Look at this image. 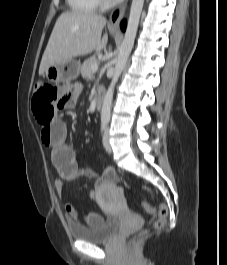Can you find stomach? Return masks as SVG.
Masks as SVG:
<instances>
[{
  "label": "stomach",
  "mask_w": 227,
  "mask_h": 265,
  "mask_svg": "<svg viewBox=\"0 0 227 265\" xmlns=\"http://www.w3.org/2000/svg\"><path fill=\"white\" fill-rule=\"evenodd\" d=\"M80 72V62L69 60L58 65H52L44 72V76L53 83L59 84L76 79Z\"/></svg>",
  "instance_id": "0dacf381"
}]
</instances>
